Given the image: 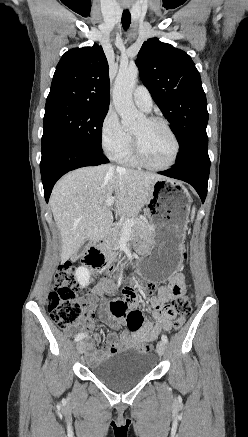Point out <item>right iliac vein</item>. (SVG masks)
Segmentation results:
<instances>
[{"label":"right iliac vein","mask_w":248,"mask_h":437,"mask_svg":"<svg viewBox=\"0 0 248 437\" xmlns=\"http://www.w3.org/2000/svg\"><path fill=\"white\" fill-rule=\"evenodd\" d=\"M76 348L78 353L82 354L86 349V343L84 341H80L77 343Z\"/></svg>","instance_id":"63e3f726"}]
</instances>
